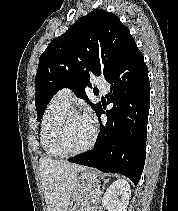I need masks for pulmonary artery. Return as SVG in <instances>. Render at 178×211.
Instances as JSON below:
<instances>
[{"mask_svg":"<svg viewBox=\"0 0 178 211\" xmlns=\"http://www.w3.org/2000/svg\"><path fill=\"white\" fill-rule=\"evenodd\" d=\"M93 82L95 83V85L99 88V90L102 93H106L109 90V87L106 83V81L102 78H94ZM57 96L59 97V99H61L64 103L70 105L72 98H73V92L71 89L69 88H63L61 89Z\"/></svg>","mask_w":178,"mask_h":211,"instance_id":"pulmonary-artery-1","label":"pulmonary artery"}]
</instances>
